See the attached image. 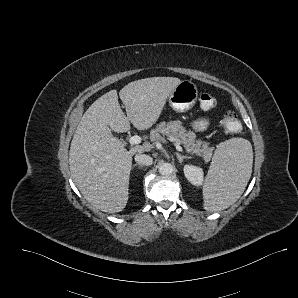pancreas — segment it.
Here are the masks:
<instances>
[{"mask_svg":"<svg viewBox=\"0 0 298 298\" xmlns=\"http://www.w3.org/2000/svg\"><path fill=\"white\" fill-rule=\"evenodd\" d=\"M174 138L175 142L184 146L187 152L201 156L206 162L211 161L214 147L209 142L196 138V134L188 131L182 126V121L174 119L170 121H160L155 128L150 131V138L153 141H164Z\"/></svg>","mask_w":298,"mask_h":298,"instance_id":"1","label":"pancreas"}]
</instances>
